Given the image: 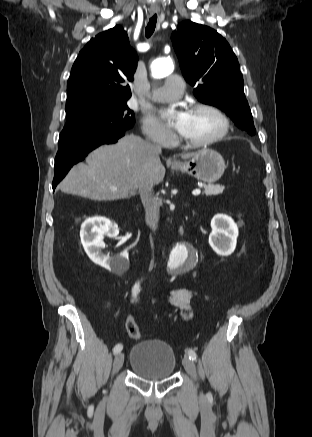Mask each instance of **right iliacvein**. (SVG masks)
Masks as SVG:
<instances>
[{
    "label": "right iliac vein",
    "instance_id": "right-iliac-vein-1",
    "mask_svg": "<svg viewBox=\"0 0 312 437\" xmlns=\"http://www.w3.org/2000/svg\"><path fill=\"white\" fill-rule=\"evenodd\" d=\"M123 362H124V354L118 353L113 362V373H116L121 369Z\"/></svg>",
    "mask_w": 312,
    "mask_h": 437
}]
</instances>
